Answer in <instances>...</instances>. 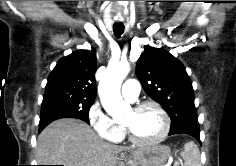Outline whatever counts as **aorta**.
I'll use <instances>...</instances> for the list:
<instances>
[{"instance_id":"aorta-1","label":"aorta","mask_w":236,"mask_h":166,"mask_svg":"<svg viewBox=\"0 0 236 166\" xmlns=\"http://www.w3.org/2000/svg\"><path fill=\"white\" fill-rule=\"evenodd\" d=\"M130 71L127 62H120L107 68L98 86V93L103 108L113 118H118L130 110L121 97L120 88L124 78Z\"/></svg>"}]
</instances>
